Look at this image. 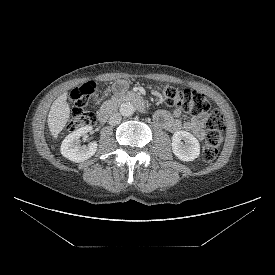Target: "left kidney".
I'll return each mask as SVG.
<instances>
[{
    "label": "left kidney",
    "mask_w": 275,
    "mask_h": 275,
    "mask_svg": "<svg viewBox=\"0 0 275 275\" xmlns=\"http://www.w3.org/2000/svg\"><path fill=\"white\" fill-rule=\"evenodd\" d=\"M185 141V143L182 142ZM172 150L174 155L182 161H193L200 154L198 140L187 131H177L172 137Z\"/></svg>",
    "instance_id": "left-kidney-1"
}]
</instances>
